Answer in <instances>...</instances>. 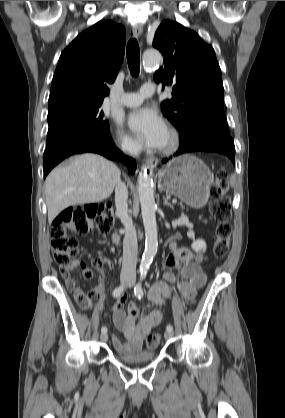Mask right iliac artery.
Wrapping results in <instances>:
<instances>
[{
	"instance_id": "1",
	"label": "right iliac artery",
	"mask_w": 285,
	"mask_h": 418,
	"mask_svg": "<svg viewBox=\"0 0 285 418\" xmlns=\"http://www.w3.org/2000/svg\"><path fill=\"white\" fill-rule=\"evenodd\" d=\"M124 289H125V284H122V285H120V286L116 287V288L113 290V297H119V296H120V294L124 291ZM101 332H102V333H106V332H107V328H106L105 326H103V327L101 328Z\"/></svg>"
}]
</instances>
